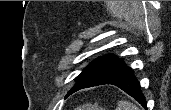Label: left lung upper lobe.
Masks as SVG:
<instances>
[{
    "mask_svg": "<svg viewBox=\"0 0 171 110\" xmlns=\"http://www.w3.org/2000/svg\"><path fill=\"white\" fill-rule=\"evenodd\" d=\"M122 63V60L115 58L113 55L103 56L92 61L75 79L76 84L73 88L96 79L98 76L102 75L106 71L117 67Z\"/></svg>",
    "mask_w": 171,
    "mask_h": 110,
    "instance_id": "left-lung-upper-lobe-1",
    "label": "left lung upper lobe"
}]
</instances>
